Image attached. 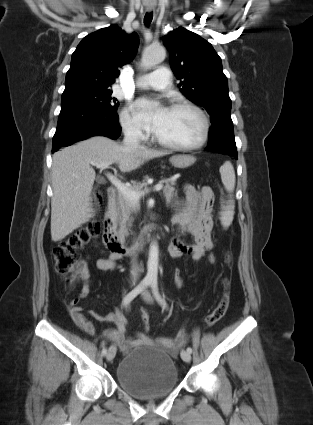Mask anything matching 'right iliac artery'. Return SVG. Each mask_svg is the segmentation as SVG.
I'll list each match as a JSON object with an SVG mask.
<instances>
[{"label": "right iliac artery", "mask_w": 313, "mask_h": 425, "mask_svg": "<svg viewBox=\"0 0 313 425\" xmlns=\"http://www.w3.org/2000/svg\"><path fill=\"white\" fill-rule=\"evenodd\" d=\"M151 284V280L145 278L141 281V283L134 288L131 292H129L123 299L122 305L127 306L138 294H140L147 286ZM107 354V349L104 347L102 349V355L105 356Z\"/></svg>", "instance_id": "obj_1"}]
</instances>
